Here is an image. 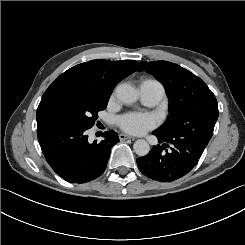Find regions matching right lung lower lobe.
<instances>
[{
    "label": "right lung lower lobe",
    "mask_w": 245,
    "mask_h": 245,
    "mask_svg": "<svg viewBox=\"0 0 245 245\" xmlns=\"http://www.w3.org/2000/svg\"><path fill=\"white\" fill-rule=\"evenodd\" d=\"M86 128L63 126L38 129L42 152L51 168L70 183L90 182L104 172L112 146L119 142L113 130L90 144Z\"/></svg>",
    "instance_id": "1"
}]
</instances>
